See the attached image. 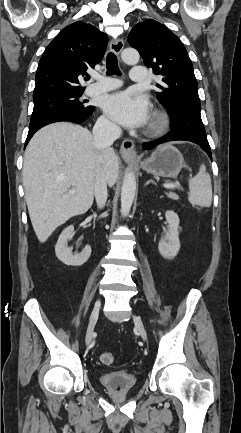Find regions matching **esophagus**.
Here are the masks:
<instances>
[{"instance_id": "1", "label": "esophagus", "mask_w": 241, "mask_h": 433, "mask_svg": "<svg viewBox=\"0 0 241 433\" xmlns=\"http://www.w3.org/2000/svg\"><path fill=\"white\" fill-rule=\"evenodd\" d=\"M124 47V41L119 38L117 40H113L110 43V51L115 53L116 55H120ZM121 156L126 159H134L136 157L135 145L131 139H125L120 147Z\"/></svg>"}]
</instances>
